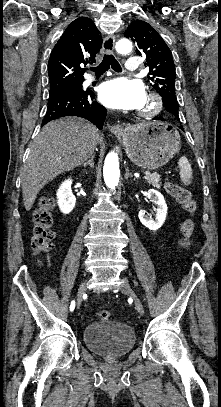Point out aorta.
I'll return each instance as SVG.
<instances>
[{"label":"aorta","mask_w":221,"mask_h":407,"mask_svg":"<svg viewBox=\"0 0 221 407\" xmlns=\"http://www.w3.org/2000/svg\"><path fill=\"white\" fill-rule=\"evenodd\" d=\"M116 50L120 54H128L132 50V43L128 39H121L116 43ZM104 181L108 188L115 189L119 182V159L115 152H110L105 158L103 167Z\"/></svg>","instance_id":"obj_1"}]
</instances>
